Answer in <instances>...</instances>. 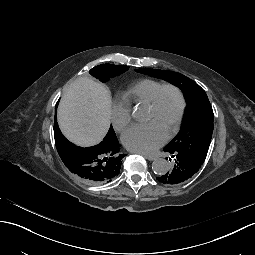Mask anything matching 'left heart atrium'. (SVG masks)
<instances>
[{
    "label": "left heart atrium",
    "instance_id": "left-heart-atrium-1",
    "mask_svg": "<svg viewBox=\"0 0 255 255\" xmlns=\"http://www.w3.org/2000/svg\"><path fill=\"white\" fill-rule=\"evenodd\" d=\"M121 140L130 151L152 153L166 142V136L151 124H135L124 132Z\"/></svg>",
    "mask_w": 255,
    "mask_h": 255
}]
</instances>
